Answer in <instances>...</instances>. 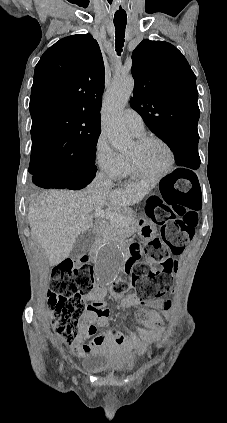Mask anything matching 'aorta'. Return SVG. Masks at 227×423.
<instances>
[{"instance_id":"obj_1","label":"aorta","mask_w":227,"mask_h":423,"mask_svg":"<svg viewBox=\"0 0 227 423\" xmlns=\"http://www.w3.org/2000/svg\"><path fill=\"white\" fill-rule=\"evenodd\" d=\"M134 88L131 76H116L107 90L101 109L102 127L111 145L122 150L127 148L132 138L123 120V110ZM123 255L118 244L102 246L95 260V275L101 282H113L122 269Z\"/></svg>"}]
</instances>
